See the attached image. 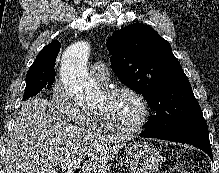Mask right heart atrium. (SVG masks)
I'll return each mask as SVG.
<instances>
[{"instance_id":"d8ad5b80","label":"right heart atrium","mask_w":219,"mask_h":173,"mask_svg":"<svg viewBox=\"0 0 219 173\" xmlns=\"http://www.w3.org/2000/svg\"><path fill=\"white\" fill-rule=\"evenodd\" d=\"M50 102L52 107L65 118L80 126L88 125V113L71 99L61 83L57 82L53 86Z\"/></svg>"}]
</instances>
